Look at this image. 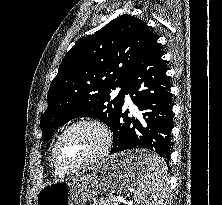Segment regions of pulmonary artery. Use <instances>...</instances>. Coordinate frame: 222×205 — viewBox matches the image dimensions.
I'll return each mask as SVG.
<instances>
[{"label":"pulmonary artery","mask_w":222,"mask_h":205,"mask_svg":"<svg viewBox=\"0 0 222 205\" xmlns=\"http://www.w3.org/2000/svg\"><path fill=\"white\" fill-rule=\"evenodd\" d=\"M125 100L127 103L131 104V99L129 95H126Z\"/></svg>","instance_id":"1"}]
</instances>
